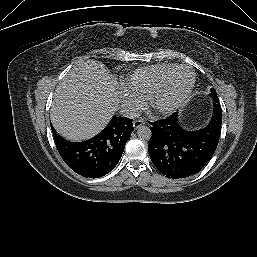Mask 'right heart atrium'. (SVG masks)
<instances>
[{"label": "right heart atrium", "mask_w": 257, "mask_h": 257, "mask_svg": "<svg viewBox=\"0 0 257 257\" xmlns=\"http://www.w3.org/2000/svg\"><path fill=\"white\" fill-rule=\"evenodd\" d=\"M121 97L125 108L131 114L138 112L144 107V100L127 88H124Z\"/></svg>", "instance_id": "obj_1"}]
</instances>
